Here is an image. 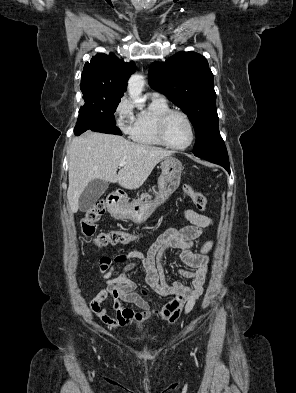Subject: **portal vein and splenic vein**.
<instances>
[{"label":"portal vein and splenic vein","mask_w":296,"mask_h":393,"mask_svg":"<svg viewBox=\"0 0 296 393\" xmlns=\"http://www.w3.org/2000/svg\"><path fill=\"white\" fill-rule=\"evenodd\" d=\"M126 164H127V162H125V161L119 162V166H120V167H123V166H125Z\"/></svg>","instance_id":"obj_1"}]
</instances>
